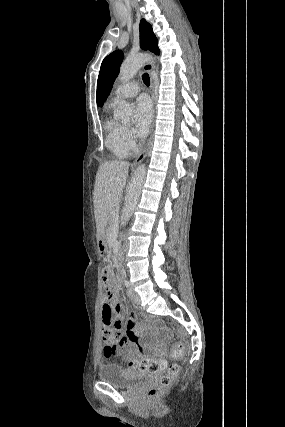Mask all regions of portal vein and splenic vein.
Returning a JSON list of instances; mask_svg holds the SVG:
<instances>
[{
    "instance_id": "18ae733b",
    "label": "portal vein and splenic vein",
    "mask_w": 285,
    "mask_h": 427,
    "mask_svg": "<svg viewBox=\"0 0 285 427\" xmlns=\"http://www.w3.org/2000/svg\"><path fill=\"white\" fill-rule=\"evenodd\" d=\"M113 215H114V218H115V219H118V210H115V211L113 212Z\"/></svg>"
}]
</instances>
